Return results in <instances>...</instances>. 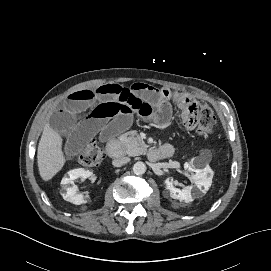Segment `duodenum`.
<instances>
[{"label":"duodenum","instance_id":"1","mask_svg":"<svg viewBox=\"0 0 271 271\" xmlns=\"http://www.w3.org/2000/svg\"><path fill=\"white\" fill-rule=\"evenodd\" d=\"M107 154L112 159H120L123 156V151L120 143L116 139H110L106 146ZM150 155L155 158L159 159L167 155L162 149H151ZM168 157V156H167Z\"/></svg>","mask_w":271,"mask_h":271}]
</instances>
